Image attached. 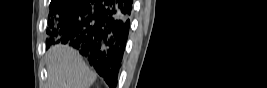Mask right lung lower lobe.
Segmentation results:
<instances>
[{"mask_svg":"<svg viewBox=\"0 0 267 88\" xmlns=\"http://www.w3.org/2000/svg\"><path fill=\"white\" fill-rule=\"evenodd\" d=\"M132 0H73L49 20L51 43L77 48L114 88L130 30Z\"/></svg>","mask_w":267,"mask_h":88,"instance_id":"98d812e1","label":"right lung lower lobe"}]
</instances>
